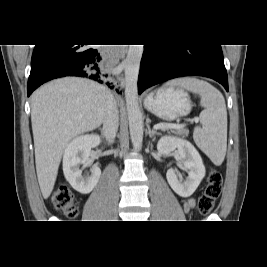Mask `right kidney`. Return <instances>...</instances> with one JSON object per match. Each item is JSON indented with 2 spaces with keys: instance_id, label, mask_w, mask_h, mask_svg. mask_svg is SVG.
I'll use <instances>...</instances> for the list:
<instances>
[{
  "instance_id": "1",
  "label": "right kidney",
  "mask_w": 267,
  "mask_h": 267,
  "mask_svg": "<svg viewBox=\"0 0 267 267\" xmlns=\"http://www.w3.org/2000/svg\"><path fill=\"white\" fill-rule=\"evenodd\" d=\"M101 143L98 135H82L72 140L66 147L63 155V172L66 180L78 192L82 194L90 193L101 175L98 166L91 167V175L82 176L80 164L91 166L92 161L89 158L91 149Z\"/></svg>"
}]
</instances>
